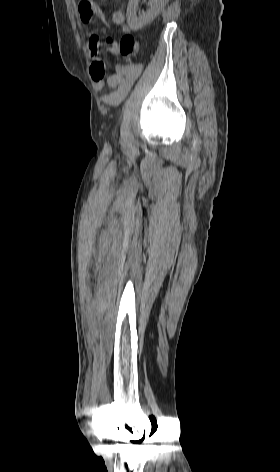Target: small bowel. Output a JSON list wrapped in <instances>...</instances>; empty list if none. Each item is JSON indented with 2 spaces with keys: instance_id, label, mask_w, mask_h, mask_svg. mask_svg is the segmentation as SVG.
I'll use <instances>...</instances> for the list:
<instances>
[{
  "instance_id": "small-bowel-1",
  "label": "small bowel",
  "mask_w": 280,
  "mask_h": 472,
  "mask_svg": "<svg viewBox=\"0 0 280 472\" xmlns=\"http://www.w3.org/2000/svg\"><path fill=\"white\" fill-rule=\"evenodd\" d=\"M78 10L83 23H89L93 16L104 22L107 21L104 11L92 0H78ZM111 20L124 33L130 32V28L126 24V14L123 10H115ZM104 51L111 55H118L119 43L110 37L105 41H101L97 34H92L89 38V52L92 59L90 75L94 82V87L96 90H102L107 87L109 92L101 97V101L109 106H117L125 99L140 76L143 67L140 63H119L115 67V73L105 79V63L101 57Z\"/></svg>"
}]
</instances>
